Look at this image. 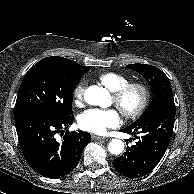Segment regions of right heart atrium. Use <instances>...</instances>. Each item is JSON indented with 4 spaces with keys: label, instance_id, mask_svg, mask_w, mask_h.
<instances>
[{
    "label": "right heart atrium",
    "instance_id": "1",
    "mask_svg": "<svg viewBox=\"0 0 194 194\" xmlns=\"http://www.w3.org/2000/svg\"><path fill=\"white\" fill-rule=\"evenodd\" d=\"M87 87V81L85 79L79 81L73 89V97L76 102H81L84 98V93Z\"/></svg>",
    "mask_w": 194,
    "mask_h": 194
}]
</instances>
